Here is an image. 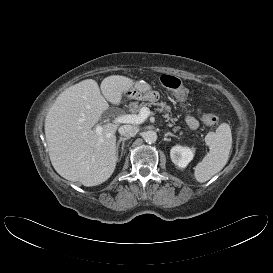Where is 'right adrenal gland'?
<instances>
[{
    "mask_svg": "<svg viewBox=\"0 0 273 273\" xmlns=\"http://www.w3.org/2000/svg\"><path fill=\"white\" fill-rule=\"evenodd\" d=\"M128 139H129L128 137H120L117 144H116V156L118 157L119 146H120V143L122 142V152H121L120 159L123 156L125 141L128 140Z\"/></svg>",
    "mask_w": 273,
    "mask_h": 273,
    "instance_id": "2a0ac1e0",
    "label": "right adrenal gland"
}]
</instances>
